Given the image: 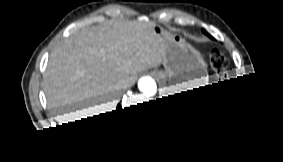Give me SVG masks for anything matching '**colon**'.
Wrapping results in <instances>:
<instances>
[{"label": "colon", "mask_w": 283, "mask_h": 162, "mask_svg": "<svg viewBox=\"0 0 283 162\" xmlns=\"http://www.w3.org/2000/svg\"><path fill=\"white\" fill-rule=\"evenodd\" d=\"M214 61H215V64H216V65H222V64H223V59H222V57L216 56V57L214 58Z\"/></svg>", "instance_id": "obj_1"}]
</instances>
